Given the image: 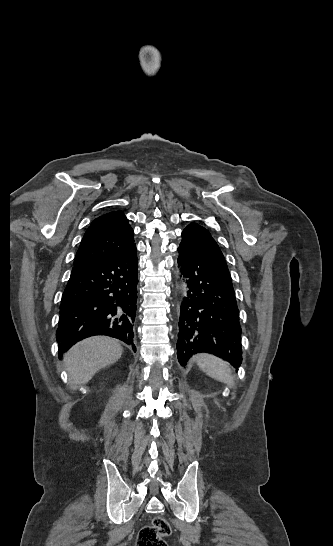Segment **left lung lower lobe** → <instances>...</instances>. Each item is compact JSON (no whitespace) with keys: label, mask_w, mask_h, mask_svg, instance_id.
Listing matches in <instances>:
<instances>
[{"label":"left lung lower lobe","mask_w":333,"mask_h":546,"mask_svg":"<svg viewBox=\"0 0 333 546\" xmlns=\"http://www.w3.org/2000/svg\"><path fill=\"white\" fill-rule=\"evenodd\" d=\"M178 264L186 281L177 341L178 361L215 354L237 368L242 363L239 309L225 258L210 232L196 223L182 232Z\"/></svg>","instance_id":"1"}]
</instances>
